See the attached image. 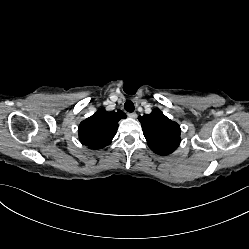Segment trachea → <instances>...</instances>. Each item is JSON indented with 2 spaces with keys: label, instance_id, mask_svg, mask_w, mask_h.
<instances>
[{
  "label": "trachea",
  "instance_id": "obj_1",
  "mask_svg": "<svg viewBox=\"0 0 249 249\" xmlns=\"http://www.w3.org/2000/svg\"><path fill=\"white\" fill-rule=\"evenodd\" d=\"M124 109L127 111V112H133L135 107H134V103L130 100L126 101L125 104H124Z\"/></svg>",
  "mask_w": 249,
  "mask_h": 249
}]
</instances>
